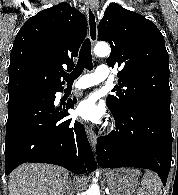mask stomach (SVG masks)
<instances>
[{
    "instance_id": "stomach-1",
    "label": "stomach",
    "mask_w": 178,
    "mask_h": 195,
    "mask_svg": "<svg viewBox=\"0 0 178 195\" xmlns=\"http://www.w3.org/2000/svg\"><path fill=\"white\" fill-rule=\"evenodd\" d=\"M131 169H112L105 172V179L113 195H133L138 186V178Z\"/></svg>"
}]
</instances>
